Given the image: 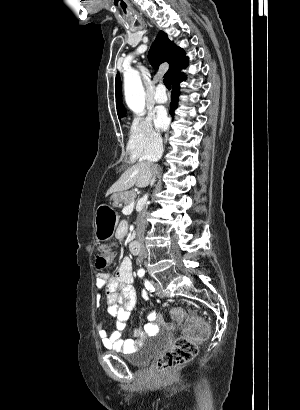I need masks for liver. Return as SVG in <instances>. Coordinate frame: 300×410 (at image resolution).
Here are the masks:
<instances>
[{"instance_id": "liver-1", "label": "liver", "mask_w": 300, "mask_h": 410, "mask_svg": "<svg viewBox=\"0 0 300 410\" xmlns=\"http://www.w3.org/2000/svg\"><path fill=\"white\" fill-rule=\"evenodd\" d=\"M153 169L149 165L141 163L129 167L121 177L111 186L106 195L114 192H122L136 185L139 188H144L149 185L152 180Z\"/></svg>"}]
</instances>
